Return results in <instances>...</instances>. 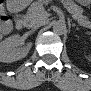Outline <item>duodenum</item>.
<instances>
[{
  "mask_svg": "<svg viewBox=\"0 0 91 91\" xmlns=\"http://www.w3.org/2000/svg\"><path fill=\"white\" fill-rule=\"evenodd\" d=\"M24 24H25L24 19L19 16V17L16 19V21H15V28H16L17 30H22V29L24 28Z\"/></svg>",
  "mask_w": 91,
  "mask_h": 91,
  "instance_id": "410a0bca",
  "label": "duodenum"
}]
</instances>
